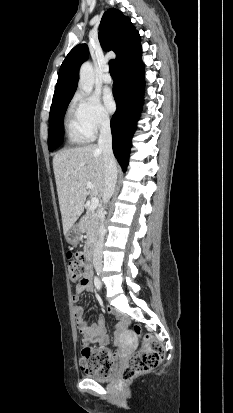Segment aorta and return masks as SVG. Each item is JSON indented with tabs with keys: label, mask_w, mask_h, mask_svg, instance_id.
Here are the masks:
<instances>
[{
	"label": "aorta",
	"mask_w": 233,
	"mask_h": 413,
	"mask_svg": "<svg viewBox=\"0 0 233 413\" xmlns=\"http://www.w3.org/2000/svg\"><path fill=\"white\" fill-rule=\"evenodd\" d=\"M78 85L85 93L92 92L94 87V71L90 62H85L80 67Z\"/></svg>",
	"instance_id": "obj_1"
}]
</instances>
